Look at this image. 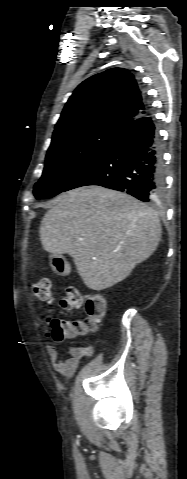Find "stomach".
Masks as SVG:
<instances>
[{"instance_id": "0dacf381", "label": "stomach", "mask_w": 187, "mask_h": 479, "mask_svg": "<svg viewBox=\"0 0 187 479\" xmlns=\"http://www.w3.org/2000/svg\"><path fill=\"white\" fill-rule=\"evenodd\" d=\"M50 265L57 275L65 276L70 272V265L63 255H51Z\"/></svg>"}]
</instances>
